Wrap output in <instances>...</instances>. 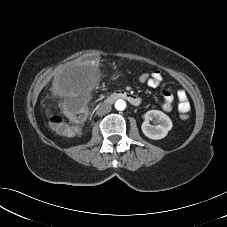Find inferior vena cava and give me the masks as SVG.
<instances>
[{
    "label": "inferior vena cava",
    "mask_w": 227,
    "mask_h": 227,
    "mask_svg": "<svg viewBox=\"0 0 227 227\" xmlns=\"http://www.w3.org/2000/svg\"><path fill=\"white\" fill-rule=\"evenodd\" d=\"M112 110V106L108 103H102L97 109V115L102 116L109 113Z\"/></svg>",
    "instance_id": "1"
}]
</instances>
